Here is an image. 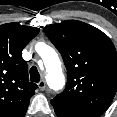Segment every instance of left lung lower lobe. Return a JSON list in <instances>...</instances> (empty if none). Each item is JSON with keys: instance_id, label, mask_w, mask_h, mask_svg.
Wrapping results in <instances>:
<instances>
[{"instance_id": "left-lung-lower-lobe-1", "label": "left lung lower lobe", "mask_w": 117, "mask_h": 117, "mask_svg": "<svg viewBox=\"0 0 117 117\" xmlns=\"http://www.w3.org/2000/svg\"><path fill=\"white\" fill-rule=\"evenodd\" d=\"M58 117H67V116H61V115H57Z\"/></svg>"}]
</instances>
